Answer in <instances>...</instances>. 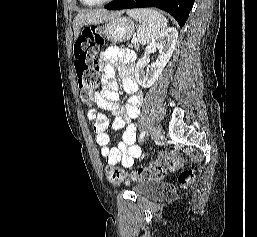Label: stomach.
<instances>
[{
  "label": "stomach",
  "mask_w": 257,
  "mask_h": 237,
  "mask_svg": "<svg viewBox=\"0 0 257 237\" xmlns=\"http://www.w3.org/2000/svg\"><path fill=\"white\" fill-rule=\"evenodd\" d=\"M135 31V24L128 17L116 16L105 21V24L99 27V35L104 39L120 43L129 40Z\"/></svg>",
  "instance_id": "1"
}]
</instances>
